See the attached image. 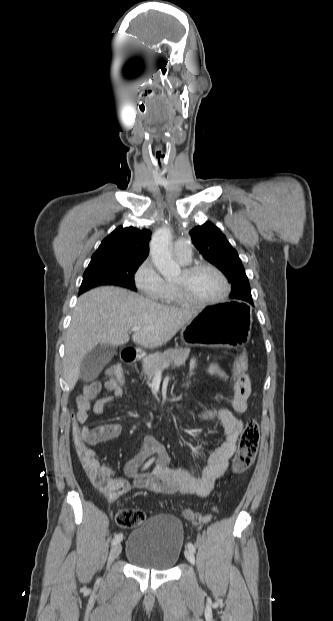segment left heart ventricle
<instances>
[{
    "label": "left heart ventricle",
    "instance_id": "obj_1",
    "mask_svg": "<svg viewBox=\"0 0 333 621\" xmlns=\"http://www.w3.org/2000/svg\"><path fill=\"white\" fill-rule=\"evenodd\" d=\"M175 282L185 284L189 293L200 300L217 298L224 290L223 281L211 270H201L191 276L182 270Z\"/></svg>",
    "mask_w": 333,
    "mask_h": 621
}]
</instances>
